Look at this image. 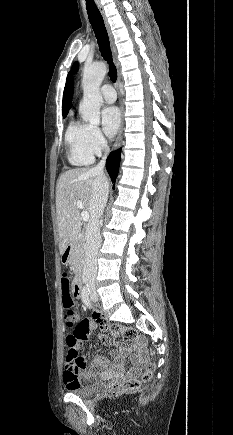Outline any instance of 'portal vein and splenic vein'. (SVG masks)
Wrapping results in <instances>:
<instances>
[{"label":"portal vein and splenic vein","mask_w":233,"mask_h":435,"mask_svg":"<svg viewBox=\"0 0 233 435\" xmlns=\"http://www.w3.org/2000/svg\"><path fill=\"white\" fill-rule=\"evenodd\" d=\"M77 207L79 209H83V203L82 201H77L76 203ZM81 217L83 221H88L89 220V213L87 211H82L81 212Z\"/></svg>","instance_id":"1"}]
</instances>
